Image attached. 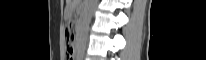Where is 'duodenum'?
<instances>
[{
  "label": "duodenum",
  "mask_w": 206,
  "mask_h": 60,
  "mask_svg": "<svg viewBox=\"0 0 206 60\" xmlns=\"http://www.w3.org/2000/svg\"><path fill=\"white\" fill-rule=\"evenodd\" d=\"M79 33H83V30H79Z\"/></svg>",
  "instance_id": "1"
}]
</instances>
